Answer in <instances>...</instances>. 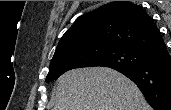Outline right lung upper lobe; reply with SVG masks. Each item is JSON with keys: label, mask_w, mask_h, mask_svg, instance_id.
<instances>
[{"label": "right lung upper lobe", "mask_w": 171, "mask_h": 110, "mask_svg": "<svg viewBox=\"0 0 171 110\" xmlns=\"http://www.w3.org/2000/svg\"><path fill=\"white\" fill-rule=\"evenodd\" d=\"M164 41L140 6L129 1H114L80 16L59 41L54 56L83 47H126L149 53Z\"/></svg>", "instance_id": "right-lung-upper-lobe-1"}]
</instances>
